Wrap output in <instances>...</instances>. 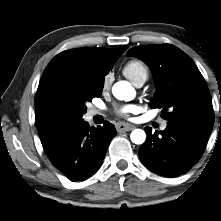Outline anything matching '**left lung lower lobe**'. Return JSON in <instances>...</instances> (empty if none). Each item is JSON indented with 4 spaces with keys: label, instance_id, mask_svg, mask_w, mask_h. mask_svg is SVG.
<instances>
[{
    "label": "left lung lower lobe",
    "instance_id": "1",
    "mask_svg": "<svg viewBox=\"0 0 221 221\" xmlns=\"http://www.w3.org/2000/svg\"><path fill=\"white\" fill-rule=\"evenodd\" d=\"M139 149L142 163L152 172L163 176H177L188 171L201 158L207 136L184 125L167 124L164 131L151 133Z\"/></svg>",
    "mask_w": 221,
    "mask_h": 221
}]
</instances>
